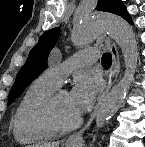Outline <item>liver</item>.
Returning a JSON list of instances; mask_svg holds the SVG:
<instances>
[{"instance_id":"obj_1","label":"liver","mask_w":145,"mask_h":147,"mask_svg":"<svg viewBox=\"0 0 145 147\" xmlns=\"http://www.w3.org/2000/svg\"><path fill=\"white\" fill-rule=\"evenodd\" d=\"M32 147H59V142H42Z\"/></svg>"}]
</instances>
